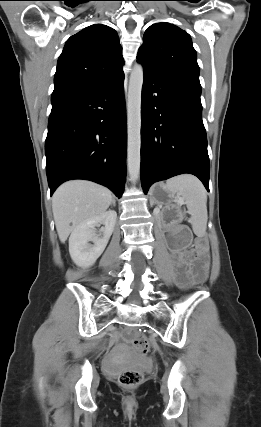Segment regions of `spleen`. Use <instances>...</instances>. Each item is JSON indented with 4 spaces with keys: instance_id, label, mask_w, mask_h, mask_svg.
<instances>
[{
    "instance_id": "3e777b00",
    "label": "spleen",
    "mask_w": 261,
    "mask_h": 427,
    "mask_svg": "<svg viewBox=\"0 0 261 427\" xmlns=\"http://www.w3.org/2000/svg\"><path fill=\"white\" fill-rule=\"evenodd\" d=\"M166 187L179 204H186L193 232L201 237L207 228V194L203 184L194 176L184 174L167 180Z\"/></svg>"
}]
</instances>
